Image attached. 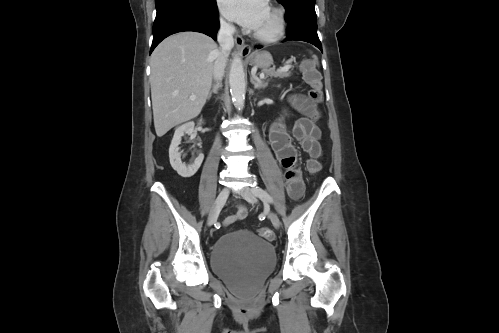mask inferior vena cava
Listing matches in <instances>:
<instances>
[{
	"instance_id": "1",
	"label": "inferior vena cava",
	"mask_w": 499,
	"mask_h": 333,
	"mask_svg": "<svg viewBox=\"0 0 499 333\" xmlns=\"http://www.w3.org/2000/svg\"><path fill=\"white\" fill-rule=\"evenodd\" d=\"M234 31L235 28L231 24L224 21L220 23V29L218 32V42L220 44V50L218 51L213 69V76L216 81H221L224 76L227 58L234 45Z\"/></svg>"
}]
</instances>
